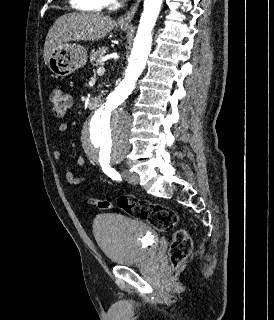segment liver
I'll return each mask as SVG.
<instances>
[{
    "label": "liver",
    "mask_w": 274,
    "mask_h": 320,
    "mask_svg": "<svg viewBox=\"0 0 274 320\" xmlns=\"http://www.w3.org/2000/svg\"><path fill=\"white\" fill-rule=\"evenodd\" d=\"M115 26L110 16H101L93 12L64 14L50 28L44 44V64L47 66L51 54L67 42H98L105 38Z\"/></svg>",
    "instance_id": "1"
}]
</instances>
